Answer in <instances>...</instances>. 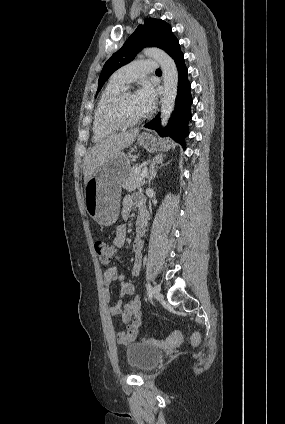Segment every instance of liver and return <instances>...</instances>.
<instances>
[{
    "label": "liver",
    "instance_id": "1",
    "mask_svg": "<svg viewBox=\"0 0 285 424\" xmlns=\"http://www.w3.org/2000/svg\"><path fill=\"white\" fill-rule=\"evenodd\" d=\"M139 129H133L107 137L91 147L84 159V183L94 175L100 166L112 159L117 153L129 147L136 139Z\"/></svg>",
    "mask_w": 285,
    "mask_h": 424
}]
</instances>
